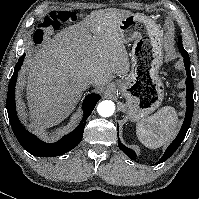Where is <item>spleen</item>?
Segmentation results:
<instances>
[{"label": "spleen", "instance_id": "1", "mask_svg": "<svg viewBox=\"0 0 199 199\" xmlns=\"http://www.w3.org/2000/svg\"><path fill=\"white\" fill-rule=\"evenodd\" d=\"M177 126L178 118L175 109L166 106L139 122L136 126V134L143 145L155 149L172 140Z\"/></svg>", "mask_w": 199, "mask_h": 199}]
</instances>
